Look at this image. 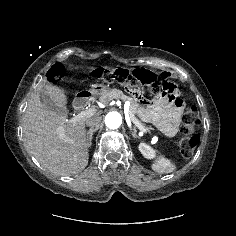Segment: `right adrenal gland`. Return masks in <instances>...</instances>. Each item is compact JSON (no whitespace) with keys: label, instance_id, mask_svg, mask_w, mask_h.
I'll return each mask as SVG.
<instances>
[{"label":"right adrenal gland","instance_id":"right-adrenal-gland-1","mask_svg":"<svg viewBox=\"0 0 236 236\" xmlns=\"http://www.w3.org/2000/svg\"><path fill=\"white\" fill-rule=\"evenodd\" d=\"M97 129H89L86 133V139H87V145L88 147H90L92 145V137H93V133L96 131Z\"/></svg>","mask_w":236,"mask_h":236}]
</instances>
